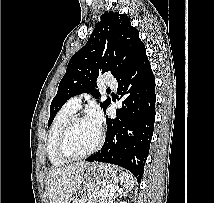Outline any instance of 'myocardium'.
<instances>
[{
	"label": "myocardium",
	"mask_w": 214,
	"mask_h": 203,
	"mask_svg": "<svg viewBox=\"0 0 214 203\" xmlns=\"http://www.w3.org/2000/svg\"><path fill=\"white\" fill-rule=\"evenodd\" d=\"M84 119L85 118L82 116H73L67 122V124L64 126L62 131L60 132V135H59L58 141H57V150H58V153L60 154V156L67 161H76V160H81V159L89 157L90 155H92L94 152H96L99 149V147L101 146V144L104 140V132L102 129H99V135H98L97 141L95 142L93 147L91 149H89L88 151H86L82 154H71L67 150V147H66L67 140H68V137H69L72 129L78 122H80Z\"/></svg>",
	"instance_id": "f54148a6"
}]
</instances>
